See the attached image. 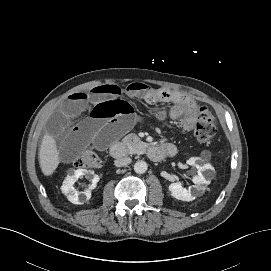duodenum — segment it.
Returning a JSON list of instances; mask_svg holds the SVG:
<instances>
[{"label": "duodenum", "mask_w": 271, "mask_h": 271, "mask_svg": "<svg viewBox=\"0 0 271 271\" xmlns=\"http://www.w3.org/2000/svg\"><path fill=\"white\" fill-rule=\"evenodd\" d=\"M110 155L113 158H122L127 154L126 147L123 143H114L109 149ZM147 153L150 159L159 161L168 156V151L162 147L149 146Z\"/></svg>", "instance_id": "410a0bca"}]
</instances>
